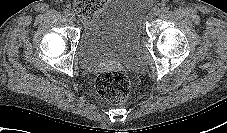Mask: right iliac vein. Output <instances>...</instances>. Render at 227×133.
I'll return each mask as SVG.
<instances>
[{
    "mask_svg": "<svg viewBox=\"0 0 227 133\" xmlns=\"http://www.w3.org/2000/svg\"><path fill=\"white\" fill-rule=\"evenodd\" d=\"M69 17H70V19L72 20V21H75V15L73 14V13H71L70 15H69Z\"/></svg>",
    "mask_w": 227,
    "mask_h": 133,
    "instance_id": "63e3f726",
    "label": "right iliac vein"
}]
</instances>
